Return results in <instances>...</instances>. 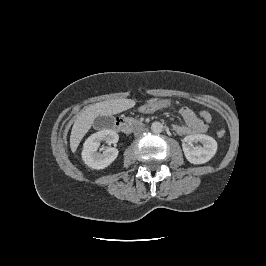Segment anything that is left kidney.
Here are the masks:
<instances>
[{
	"mask_svg": "<svg viewBox=\"0 0 266 266\" xmlns=\"http://www.w3.org/2000/svg\"><path fill=\"white\" fill-rule=\"evenodd\" d=\"M202 143L203 147H194L193 143ZM182 148L186 159L192 164L208 162L217 151V142L205 134L189 135L184 138Z\"/></svg>",
	"mask_w": 266,
	"mask_h": 266,
	"instance_id": "left-kidney-1",
	"label": "left kidney"
}]
</instances>
